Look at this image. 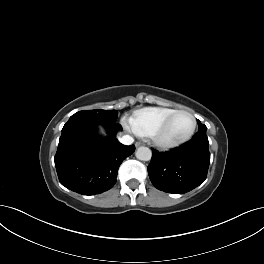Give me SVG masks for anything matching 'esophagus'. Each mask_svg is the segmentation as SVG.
<instances>
[{
  "label": "esophagus",
  "mask_w": 264,
  "mask_h": 264,
  "mask_svg": "<svg viewBox=\"0 0 264 264\" xmlns=\"http://www.w3.org/2000/svg\"><path fill=\"white\" fill-rule=\"evenodd\" d=\"M141 145H142V144H141L140 142H137V143H136V146H137V147H139V146H141Z\"/></svg>",
  "instance_id": "obj_1"
}]
</instances>
